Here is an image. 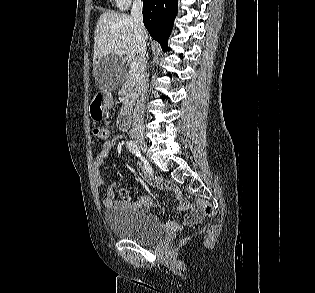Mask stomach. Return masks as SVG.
Instances as JSON below:
<instances>
[{"instance_id":"obj_1","label":"stomach","mask_w":315,"mask_h":293,"mask_svg":"<svg viewBox=\"0 0 315 293\" xmlns=\"http://www.w3.org/2000/svg\"><path fill=\"white\" fill-rule=\"evenodd\" d=\"M112 106V98L109 93H99L91 103L89 114L94 121L105 120Z\"/></svg>"}]
</instances>
